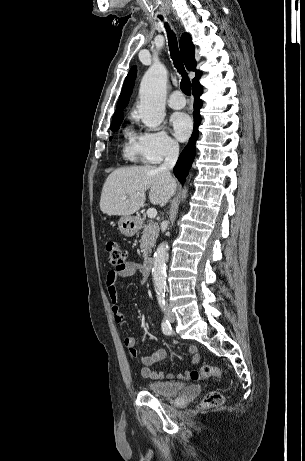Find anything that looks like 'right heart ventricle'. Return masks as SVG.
I'll use <instances>...</instances> for the list:
<instances>
[{
	"label": "right heart ventricle",
	"instance_id": "obj_1",
	"mask_svg": "<svg viewBox=\"0 0 305 461\" xmlns=\"http://www.w3.org/2000/svg\"><path fill=\"white\" fill-rule=\"evenodd\" d=\"M126 137L127 142L124 146L123 153L127 158L135 161L139 157L136 143V135L132 130L128 129L126 130Z\"/></svg>",
	"mask_w": 305,
	"mask_h": 461
}]
</instances>
